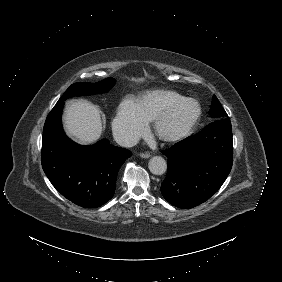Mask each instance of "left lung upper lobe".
I'll return each instance as SVG.
<instances>
[{"label":"left lung upper lobe","instance_id":"obj_1","mask_svg":"<svg viewBox=\"0 0 282 282\" xmlns=\"http://www.w3.org/2000/svg\"><path fill=\"white\" fill-rule=\"evenodd\" d=\"M209 114H210L211 117L216 118V119L227 117V113L225 112V110L221 106V104L218 101L216 96H213L212 105H211V109L209 111Z\"/></svg>","mask_w":282,"mask_h":282}]
</instances>
